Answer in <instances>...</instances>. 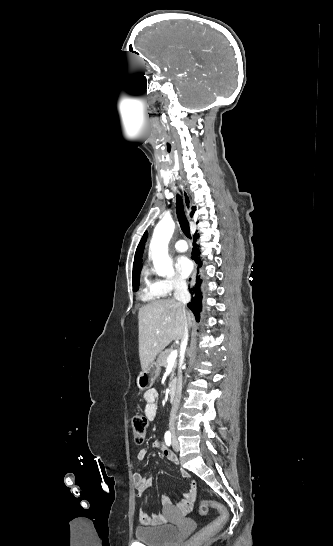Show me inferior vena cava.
I'll use <instances>...</instances> for the list:
<instances>
[{"instance_id": "obj_1", "label": "inferior vena cava", "mask_w": 333, "mask_h": 546, "mask_svg": "<svg viewBox=\"0 0 333 546\" xmlns=\"http://www.w3.org/2000/svg\"><path fill=\"white\" fill-rule=\"evenodd\" d=\"M174 290H175L174 297L182 305L183 311H184L185 327H184L183 337L181 339V349L185 351L187 342H188V337H189L186 305L190 302L191 295L188 291L187 283L184 280L176 279L174 281ZM181 392H182V377L180 376L177 382L176 394H175V398L173 401L172 410L170 414L169 429L171 432L175 431V420H176V414L180 404Z\"/></svg>"}]
</instances>
